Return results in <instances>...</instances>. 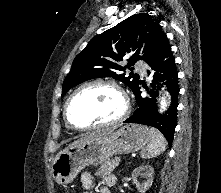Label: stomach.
<instances>
[{"mask_svg":"<svg viewBox=\"0 0 221 193\" xmlns=\"http://www.w3.org/2000/svg\"><path fill=\"white\" fill-rule=\"evenodd\" d=\"M149 142L148 127L127 124L60 151L52 162V177L58 184H68L85 167L102 164L113 155L137 152Z\"/></svg>","mask_w":221,"mask_h":193,"instance_id":"1","label":"stomach"}]
</instances>
